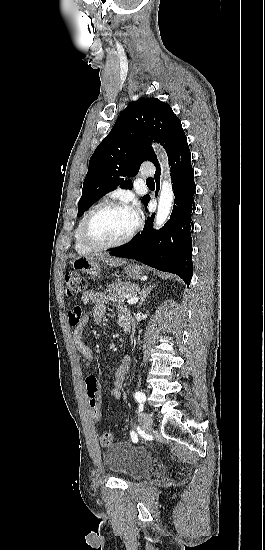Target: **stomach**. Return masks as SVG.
<instances>
[{
    "label": "stomach",
    "mask_w": 265,
    "mask_h": 550,
    "mask_svg": "<svg viewBox=\"0 0 265 550\" xmlns=\"http://www.w3.org/2000/svg\"><path fill=\"white\" fill-rule=\"evenodd\" d=\"M71 265L75 270L92 276H99L102 271V264L95 256L77 257L72 260ZM125 270L131 279H139L143 274V268L136 264L128 265Z\"/></svg>",
    "instance_id": "1"
}]
</instances>
